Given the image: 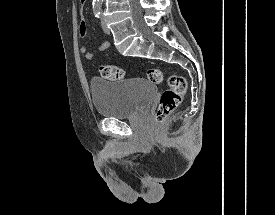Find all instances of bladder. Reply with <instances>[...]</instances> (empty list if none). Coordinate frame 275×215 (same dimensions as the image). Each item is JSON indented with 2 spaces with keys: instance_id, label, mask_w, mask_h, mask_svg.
<instances>
[{
  "instance_id": "obj_1",
  "label": "bladder",
  "mask_w": 275,
  "mask_h": 215,
  "mask_svg": "<svg viewBox=\"0 0 275 215\" xmlns=\"http://www.w3.org/2000/svg\"><path fill=\"white\" fill-rule=\"evenodd\" d=\"M90 93L98 115L125 119L147 108L157 94V87L144 78L114 82L93 78Z\"/></svg>"
}]
</instances>
